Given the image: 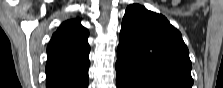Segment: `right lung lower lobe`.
<instances>
[{"label":"right lung lower lobe","mask_w":223,"mask_h":88,"mask_svg":"<svg viewBox=\"0 0 223 88\" xmlns=\"http://www.w3.org/2000/svg\"><path fill=\"white\" fill-rule=\"evenodd\" d=\"M88 86V80L85 81L84 83L80 84L79 86H77L76 88H87Z\"/></svg>","instance_id":"right-lung-lower-lobe-1"}]
</instances>
